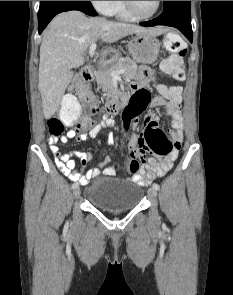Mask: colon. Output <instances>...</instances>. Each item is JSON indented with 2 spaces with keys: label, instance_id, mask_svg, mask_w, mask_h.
Returning <instances> with one entry per match:
<instances>
[{
  "label": "colon",
  "instance_id": "5ec220e1",
  "mask_svg": "<svg viewBox=\"0 0 233 295\" xmlns=\"http://www.w3.org/2000/svg\"><path fill=\"white\" fill-rule=\"evenodd\" d=\"M165 48L172 53V56L162 63L163 71L176 80L184 79V69L182 58L186 54V43L175 32L167 33L163 38ZM83 77L73 80L70 85L69 93L64 97L62 106L58 110V117H52L48 121L49 133L53 137L60 136L64 131L63 122L75 121L80 113L81 107L78 99L85 102L86 107L82 115V122L91 126L92 117L97 113L95 103L92 101V93ZM159 93L176 97L181 94L180 86L157 85ZM127 121L129 120L126 114ZM173 149V142L158 127L147 126L144 132L133 141L131 156L125 162V169L135 174L138 172L141 163L145 161L146 154L155 156H166Z\"/></svg>",
  "mask_w": 233,
  "mask_h": 295
}]
</instances>
